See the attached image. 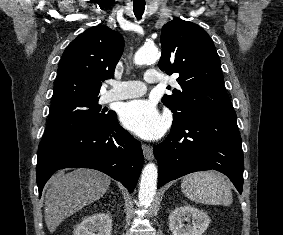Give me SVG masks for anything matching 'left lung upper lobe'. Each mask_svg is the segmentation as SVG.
<instances>
[{
    "instance_id": "5c2ea615",
    "label": "left lung upper lobe",
    "mask_w": 283,
    "mask_h": 235,
    "mask_svg": "<svg viewBox=\"0 0 283 235\" xmlns=\"http://www.w3.org/2000/svg\"><path fill=\"white\" fill-rule=\"evenodd\" d=\"M161 46L159 68L179 74L180 89L162 98L173 112V124L196 115L234 111L219 56L200 26L181 19L168 22L161 30Z\"/></svg>"
}]
</instances>
